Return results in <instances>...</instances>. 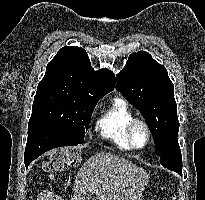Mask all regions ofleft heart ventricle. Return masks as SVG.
<instances>
[{"label": "left heart ventricle", "mask_w": 205, "mask_h": 200, "mask_svg": "<svg viewBox=\"0 0 205 200\" xmlns=\"http://www.w3.org/2000/svg\"><path fill=\"white\" fill-rule=\"evenodd\" d=\"M133 138L137 146H144L147 141V134L145 129L142 126H137L134 130Z\"/></svg>", "instance_id": "obj_1"}]
</instances>
